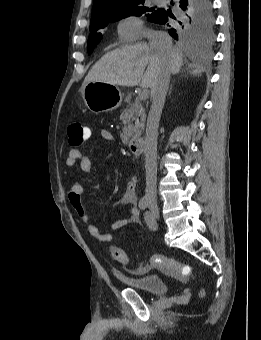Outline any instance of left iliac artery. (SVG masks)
Masks as SVG:
<instances>
[{
  "instance_id": "obj_1",
  "label": "left iliac artery",
  "mask_w": 261,
  "mask_h": 340,
  "mask_svg": "<svg viewBox=\"0 0 261 340\" xmlns=\"http://www.w3.org/2000/svg\"><path fill=\"white\" fill-rule=\"evenodd\" d=\"M145 221H146V223H147V225L149 226V227H152V225H153V217H152V215L150 214V212H145Z\"/></svg>"
}]
</instances>
